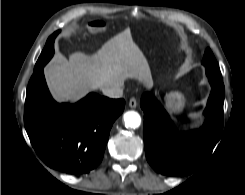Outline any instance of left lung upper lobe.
<instances>
[{"label":"left lung upper lobe","mask_w":245,"mask_h":195,"mask_svg":"<svg viewBox=\"0 0 245 195\" xmlns=\"http://www.w3.org/2000/svg\"><path fill=\"white\" fill-rule=\"evenodd\" d=\"M202 64L206 68V75L218 80H222V75L218 67L217 61L211 52L210 48L205 51Z\"/></svg>","instance_id":"1"}]
</instances>
